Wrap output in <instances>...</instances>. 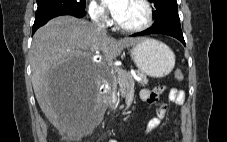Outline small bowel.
I'll return each mask as SVG.
<instances>
[{
    "label": "small bowel",
    "instance_id": "c3829d8e",
    "mask_svg": "<svg viewBox=\"0 0 227 142\" xmlns=\"http://www.w3.org/2000/svg\"><path fill=\"white\" fill-rule=\"evenodd\" d=\"M165 91L164 87H156L153 89L145 88L141 90V99L149 104H156L159 102L160 95ZM169 99L177 105H182L185 100V93L182 90L171 88L168 92ZM167 113V105L165 103H159L156 109V115L147 124L146 132L150 133L156 127H158L161 121L165 118ZM106 142H116L113 139H109Z\"/></svg>",
    "mask_w": 227,
    "mask_h": 142
}]
</instances>
